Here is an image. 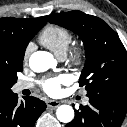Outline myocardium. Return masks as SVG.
<instances>
[{
  "mask_svg": "<svg viewBox=\"0 0 127 127\" xmlns=\"http://www.w3.org/2000/svg\"><path fill=\"white\" fill-rule=\"evenodd\" d=\"M86 59V51L82 46H75L70 49L68 60L76 67H80L84 64Z\"/></svg>",
  "mask_w": 127,
  "mask_h": 127,
  "instance_id": "myocardium-1",
  "label": "myocardium"
}]
</instances>
